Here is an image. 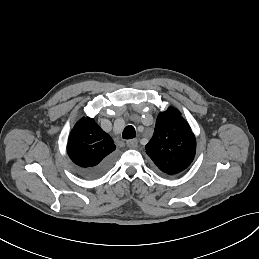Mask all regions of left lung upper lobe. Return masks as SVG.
Here are the masks:
<instances>
[{"label":"left lung upper lobe","mask_w":259,"mask_h":259,"mask_svg":"<svg viewBox=\"0 0 259 259\" xmlns=\"http://www.w3.org/2000/svg\"><path fill=\"white\" fill-rule=\"evenodd\" d=\"M145 149L157 170L172 176L184 171L192 163L196 140L181 113L170 107L158 115L153 137Z\"/></svg>","instance_id":"1"}]
</instances>
